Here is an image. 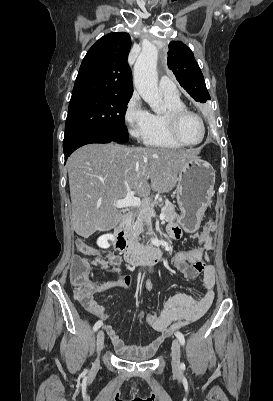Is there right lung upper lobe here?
I'll return each instance as SVG.
<instances>
[{
  "mask_svg": "<svg viewBox=\"0 0 273 401\" xmlns=\"http://www.w3.org/2000/svg\"><path fill=\"white\" fill-rule=\"evenodd\" d=\"M130 48L131 38L127 33H110L101 37L82 61L72 96H132V75L127 63Z\"/></svg>",
  "mask_w": 273,
  "mask_h": 401,
  "instance_id": "cb5924a9",
  "label": "right lung upper lobe"
}]
</instances>
